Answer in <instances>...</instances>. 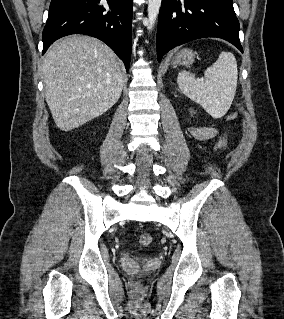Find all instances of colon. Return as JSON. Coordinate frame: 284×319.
Returning a JSON list of instances; mask_svg holds the SVG:
<instances>
[{"instance_id":"colon-1","label":"colon","mask_w":284,"mask_h":319,"mask_svg":"<svg viewBox=\"0 0 284 319\" xmlns=\"http://www.w3.org/2000/svg\"><path fill=\"white\" fill-rule=\"evenodd\" d=\"M236 118H237V113H235V112L229 113L225 117L226 121H233ZM216 146L219 149L225 148V146H226V136L225 135L220 136V138L218 139V141L216 143ZM151 242H152V237L148 233H142L138 237V243L141 246H148ZM138 288H140V287L138 286Z\"/></svg>"}]
</instances>
